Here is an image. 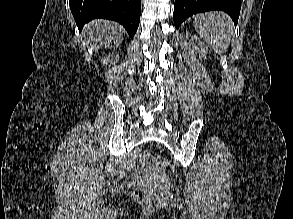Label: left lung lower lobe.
<instances>
[{"mask_svg": "<svg viewBox=\"0 0 293 219\" xmlns=\"http://www.w3.org/2000/svg\"><path fill=\"white\" fill-rule=\"evenodd\" d=\"M241 9V0H175L173 20L176 28L193 14L210 10H222L228 13L237 24Z\"/></svg>", "mask_w": 293, "mask_h": 219, "instance_id": "left-lung-lower-lobe-1", "label": "left lung lower lobe"}]
</instances>
